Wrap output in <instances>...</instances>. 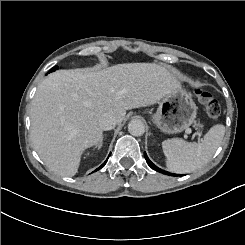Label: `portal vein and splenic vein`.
<instances>
[{
	"label": "portal vein and splenic vein",
	"mask_w": 245,
	"mask_h": 245,
	"mask_svg": "<svg viewBox=\"0 0 245 245\" xmlns=\"http://www.w3.org/2000/svg\"><path fill=\"white\" fill-rule=\"evenodd\" d=\"M185 132L189 133V135H194V130H192V128H186Z\"/></svg>",
	"instance_id": "18ae733b"
}]
</instances>
